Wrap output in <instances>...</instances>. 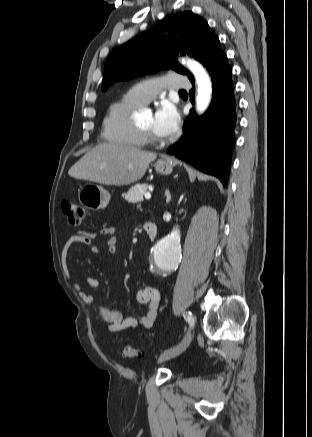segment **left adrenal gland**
I'll return each instance as SVG.
<instances>
[{
    "label": "left adrenal gland",
    "mask_w": 312,
    "mask_h": 437,
    "mask_svg": "<svg viewBox=\"0 0 312 437\" xmlns=\"http://www.w3.org/2000/svg\"><path fill=\"white\" fill-rule=\"evenodd\" d=\"M166 197H167V202L169 203L171 200V195L168 190L166 191Z\"/></svg>",
    "instance_id": "left-adrenal-gland-1"
}]
</instances>
